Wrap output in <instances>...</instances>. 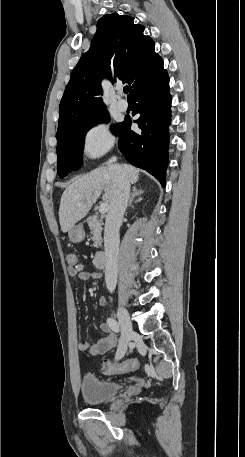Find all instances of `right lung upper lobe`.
<instances>
[{
  "instance_id": "obj_1",
  "label": "right lung upper lobe",
  "mask_w": 245,
  "mask_h": 457,
  "mask_svg": "<svg viewBox=\"0 0 245 457\" xmlns=\"http://www.w3.org/2000/svg\"><path fill=\"white\" fill-rule=\"evenodd\" d=\"M133 19L113 13L98 20L90 49L73 69L61 99L58 128L106 109L100 97L103 78L123 80L131 92L163 68L154 42L143 35L144 26L134 24Z\"/></svg>"
}]
</instances>
